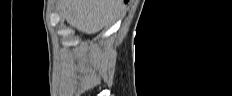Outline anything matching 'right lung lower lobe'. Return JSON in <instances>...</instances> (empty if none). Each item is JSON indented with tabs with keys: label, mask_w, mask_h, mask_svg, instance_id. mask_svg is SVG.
Listing matches in <instances>:
<instances>
[{
	"label": "right lung lower lobe",
	"mask_w": 232,
	"mask_h": 96,
	"mask_svg": "<svg viewBox=\"0 0 232 96\" xmlns=\"http://www.w3.org/2000/svg\"><path fill=\"white\" fill-rule=\"evenodd\" d=\"M125 1V3H127L128 2V0H124Z\"/></svg>",
	"instance_id": "right-lung-lower-lobe-1"
}]
</instances>
